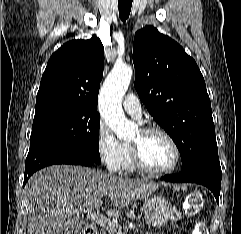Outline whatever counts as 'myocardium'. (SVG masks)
I'll use <instances>...</instances> for the list:
<instances>
[{
    "instance_id": "myocardium-1",
    "label": "myocardium",
    "mask_w": 241,
    "mask_h": 234,
    "mask_svg": "<svg viewBox=\"0 0 241 234\" xmlns=\"http://www.w3.org/2000/svg\"><path fill=\"white\" fill-rule=\"evenodd\" d=\"M142 136H148L151 134H161L163 135L172 145L175 153L174 161L171 166L168 168L162 169V170H157L149 167L143 157H142V152H141V144L140 143H130V150H131V158L133 161L134 166L136 169L139 171L146 173L148 175L152 176H164L167 174L172 173L175 171L180 163L181 160V150L179 147V144L175 140V138L164 128L158 127V126H149V127H144L140 130Z\"/></svg>"
}]
</instances>
